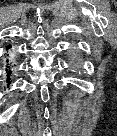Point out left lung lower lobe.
I'll use <instances>...</instances> for the list:
<instances>
[{
  "mask_svg": "<svg viewBox=\"0 0 117 136\" xmlns=\"http://www.w3.org/2000/svg\"><path fill=\"white\" fill-rule=\"evenodd\" d=\"M70 56H71L70 64H72V65L76 64L78 62V55H77L76 51L72 50Z\"/></svg>",
  "mask_w": 117,
  "mask_h": 136,
  "instance_id": "left-lung-lower-lobe-1",
  "label": "left lung lower lobe"
}]
</instances>
